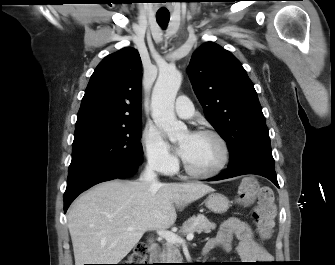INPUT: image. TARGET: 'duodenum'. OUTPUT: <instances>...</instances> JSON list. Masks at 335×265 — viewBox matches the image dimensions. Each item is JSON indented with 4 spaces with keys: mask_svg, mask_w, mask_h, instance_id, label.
Wrapping results in <instances>:
<instances>
[{
    "mask_svg": "<svg viewBox=\"0 0 335 265\" xmlns=\"http://www.w3.org/2000/svg\"><path fill=\"white\" fill-rule=\"evenodd\" d=\"M204 252L206 253L207 250L204 249ZM157 253H158V248L157 247H153L152 250H151L152 260H156Z\"/></svg>",
    "mask_w": 335,
    "mask_h": 265,
    "instance_id": "duodenum-1",
    "label": "duodenum"
}]
</instances>
